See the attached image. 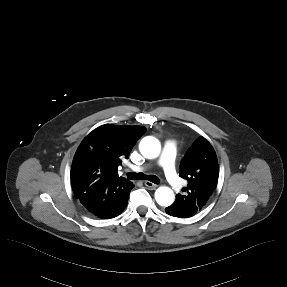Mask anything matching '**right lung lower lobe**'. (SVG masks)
Returning <instances> with one entry per match:
<instances>
[{"instance_id":"1","label":"right lung lower lobe","mask_w":287,"mask_h":287,"mask_svg":"<svg viewBox=\"0 0 287 287\" xmlns=\"http://www.w3.org/2000/svg\"><path fill=\"white\" fill-rule=\"evenodd\" d=\"M132 188V182L123 179L96 181L79 201L92 215L110 219L125 209Z\"/></svg>"}]
</instances>
